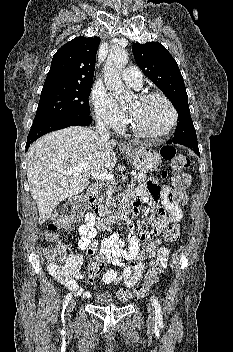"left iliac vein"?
<instances>
[{
    "label": "left iliac vein",
    "instance_id": "left-iliac-vein-1",
    "mask_svg": "<svg viewBox=\"0 0 233 352\" xmlns=\"http://www.w3.org/2000/svg\"><path fill=\"white\" fill-rule=\"evenodd\" d=\"M147 309H148V313H149V322L152 324L155 320V309L153 304H151L150 302L147 304Z\"/></svg>",
    "mask_w": 233,
    "mask_h": 352
}]
</instances>
